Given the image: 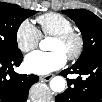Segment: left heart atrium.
I'll return each instance as SVG.
<instances>
[{
	"label": "left heart atrium",
	"instance_id": "obj_1",
	"mask_svg": "<svg viewBox=\"0 0 102 102\" xmlns=\"http://www.w3.org/2000/svg\"><path fill=\"white\" fill-rule=\"evenodd\" d=\"M25 62L30 72L46 75L61 69L66 64V57L59 51H33L26 56Z\"/></svg>",
	"mask_w": 102,
	"mask_h": 102
}]
</instances>
